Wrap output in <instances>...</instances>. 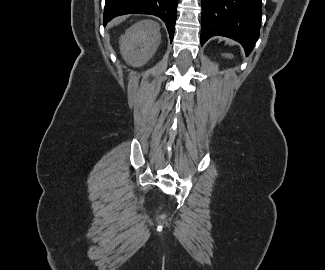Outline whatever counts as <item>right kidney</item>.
<instances>
[{
    "instance_id": "ca27d5eb",
    "label": "right kidney",
    "mask_w": 325,
    "mask_h": 270,
    "mask_svg": "<svg viewBox=\"0 0 325 270\" xmlns=\"http://www.w3.org/2000/svg\"><path fill=\"white\" fill-rule=\"evenodd\" d=\"M160 42L159 25L150 20L140 21L121 35V54L128 64L140 67L155 54Z\"/></svg>"
}]
</instances>
